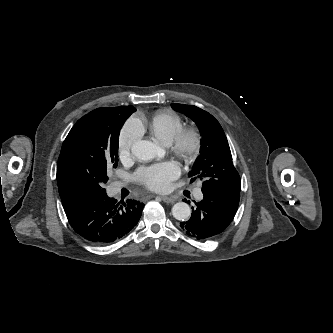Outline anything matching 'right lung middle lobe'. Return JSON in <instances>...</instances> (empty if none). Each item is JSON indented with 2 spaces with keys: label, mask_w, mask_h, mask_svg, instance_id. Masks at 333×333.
I'll list each match as a JSON object with an SVG mask.
<instances>
[{
  "label": "right lung middle lobe",
  "mask_w": 333,
  "mask_h": 333,
  "mask_svg": "<svg viewBox=\"0 0 333 333\" xmlns=\"http://www.w3.org/2000/svg\"><path fill=\"white\" fill-rule=\"evenodd\" d=\"M135 111L132 106L102 107L75 123L57 163L58 188L64 201L106 195L107 168L118 164L120 130Z\"/></svg>",
  "instance_id": "dd1d6c3e"
}]
</instances>
